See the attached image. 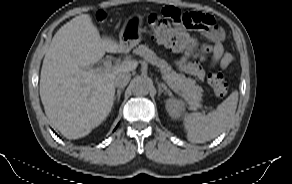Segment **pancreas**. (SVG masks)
I'll return each instance as SVG.
<instances>
[{"instance_id": "pancreas-1", "label": "pancreas", "mask_w": 292, "mask_h": 184, "mask_svg": "<svg viewBox=\"0 0 292 184\" xmlns=\"http://www.w3.org/2000/svg\"><path fill=\"white\" fill-rule=\"evenodd\" d=\"M135 53L160 68L163 79L169 86H173L180 93L187 101L190 109L196 110L201 107L203 89L201 86L196 85L195 80L176 73L164 59L157 57L146 45H139L135 49Z\"/></svg>"}]
</instances>
